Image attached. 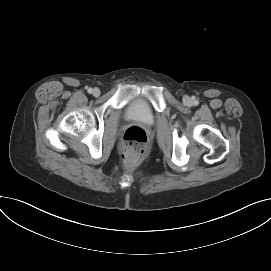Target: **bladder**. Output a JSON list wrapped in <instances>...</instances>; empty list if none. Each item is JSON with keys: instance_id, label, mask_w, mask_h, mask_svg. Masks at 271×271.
I'll return each instance as SVG.
<instances>
[{"instance_id": "obj_1", "label": "bladder", "mask_w": 271, "mask_h": 271, "mask_svg": "<svg viewBox=\"0 0 271 271\" xmlns=\"http://www.w3.org/2000/svg\"><path fill=\"white\" fill-rule=\"evenodd\" d=\"M126 117L130 120L151 124L154 122V113L147 102L142 99L132 101L126 109Z\"/></svg>"}]
</instances>
